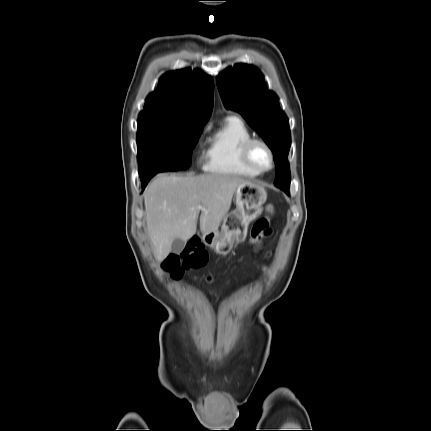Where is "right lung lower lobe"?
Instances as JSON below:
<instances>
[{
    "instance_id": "98d812e1",
    "label": "right lung lower lobe",
    "mask_w": 431,
    "mask_h": 431,
    "mask_svg": "<svg viewBox=\"0 0 431 431\" xmlns=\"http://www.w3.org/2000/svg\"><path fill=\"white\" fill-rule=\"evenodd\" d=\"M154 175H148L145 177H140L141 179V184H142V189L145 188V186L147 185L148 181L153 177Z\"/></svg>"
}]
</instances>
